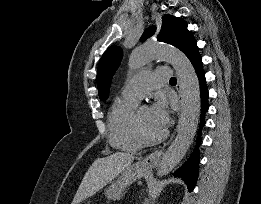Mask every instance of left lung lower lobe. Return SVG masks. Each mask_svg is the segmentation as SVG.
Instances as JSON below:
<instances>
[{
	"label": "left lung lower lobe",
	"instance_id": "obj_1",
	"mask_svg": "<svg viewBox=\"0 0 261 204\" xmlns=\"http://www.w3.org/2000/svg\"><path fill=\"white\" fill-rule=\"evenodd\" d=\"M191 61L200 84V94H201V121H200V132L202 127L205 124L204 117L205 113L207 112L209 105H208V89L206 86L205 80V73L202 69V59L198 53V48L196 45V41L194 38L187 44V46L182 51ZM201 141L200 134L198 136V141L196 147L187 160L185 164H183L176 172V176H180L184 179L185 183L188 186L189 191H192L195 187L197 176H198V163H199V144Z\"/></svg>",
	"mask_w": 261,
	"mask_h": 204
}]
</instances>
